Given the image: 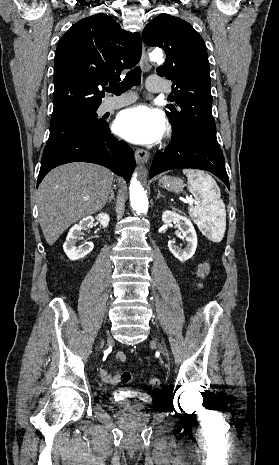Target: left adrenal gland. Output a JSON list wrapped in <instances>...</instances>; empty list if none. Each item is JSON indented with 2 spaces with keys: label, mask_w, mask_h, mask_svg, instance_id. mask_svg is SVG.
<instances>
[{
  "label": "left adrenal gland",
  "mask_w": 279,
  "mask_h": 465,
  "mask_svg": "<svg viewBox=\"0 0 279 465\" xmlns=\"http://www.w3.org/2000/svg\"><path fill=\"white\" fill-rule=\"evenodd\" d=\"M161 197H164V196H163V195L161 194V192L158 190V194H157L156 200H158V199L161 198Z\"/></svg>",
  "instance_id": "left-adrenal-gland-1"
}]
</instances>
